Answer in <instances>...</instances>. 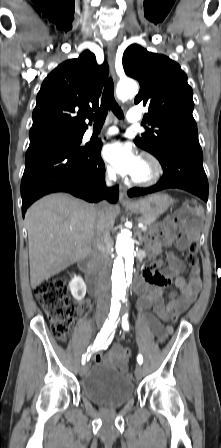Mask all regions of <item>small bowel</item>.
<instances>
[{"mask_svg":"<svg viewBox=\"0 0 221 448\" xmlns=\"http://www.w3.org/2000/svg\"><path fill=\"white\" fill-rule=\"evenodd\" d=\"M197 238V227L193 225L179 227L174 220L168 218L147 241L148 250L156 259L144 270L143 278L137 284L138 305L143 318L160 342H164L173 332L171 326H163L161 321L168 322L174 317L178 318L195 301L201 289L200 268L188 266L171 248L174 246L179 251H185L189 243ZM163 249H166L168 259V266L165 268H161L160 260L157 258ZM185 271L189 274L187 280L182 275ZM171 282L176 289L169 292L168 302H165V289ZM88 307L89 301L82 300L78 306V314H82ZM149 309H152L157 317L148 313ZM130 355L129 349L117 344L106 355L97 353L93 359L95 362L107 361L125 372L128 369Z\"/></svg>","mask_w":221,"mask_h":448,"instance_id":"1","label":"small bowel"}]
</instances>
